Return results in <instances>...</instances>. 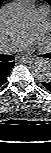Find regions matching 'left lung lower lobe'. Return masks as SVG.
<instances>
[{
    "label": "left lung lower lobe",
    "mask_w": 51,
    "mask_h": 153,
    "mask_svg": "<svg viewBox=\"0 0 51 153\" xmlns=\"http://www.w3.org/2000/svg\"><path fill=\"white\" fill-rule=\"evenodd\" d=\"M43 86L51 91V81L50 82H42Z\"/></svg>",
    "instance_id": "0a47b994"
}]
</instances>
